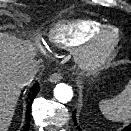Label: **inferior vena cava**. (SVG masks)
<instances>
[{"label":"inferior vena cava","mask_w":131,"mask_h":131,"mask_svg":"<svg viewBox=\"0 0 131 131\" xmlns=\"http://www.w3.org/2000/svg\"><path fill=\"white\" fill-rule=\"evenodd\" d=\"M39 70V64L37 61H32L29 65H27L19 74L18 76V80L19 83L22 86H26L28 84H30L35 75L37 74Z\"/></svg>","instance_id":"inferior-vena-cava-1"}]
</instances>
